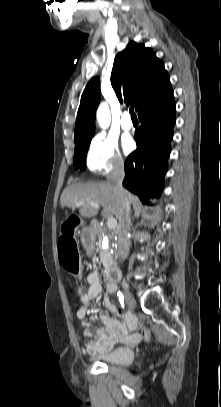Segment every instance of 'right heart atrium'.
<instances>
[{"instance_id":"right-heart-atrium-1","label":"right heart atrium","mask_w":221,"mask_h":407,"mask_svg":"<svg viewBox=\"0 0 221 407\" xmlns=\"http://www.w3.org/2000/svg\"><path fill=\"white\" fill-rule=\"evenodd\" d=\"M86 167L93 174L107 173L123 167L117 142L103 134L96 135L86 151Z\"/></svg>"}]
</instances>
